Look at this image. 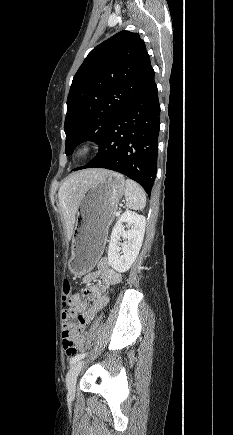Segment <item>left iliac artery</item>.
<instances>
[{
    "instance_id": "obj_1",
    "label": "left iliac artery",
    "mask_w": 233,
    "mask_h": 435,
    "mask_svg": "<svg viewBox=\"0 0 233 435\" xmlns=\"http://www.w3.org/2000/svg\"><path fill=\"white\" fill-rule=\"evenodd\" d=\"M86 355V353H81V354H77L76 356H74L71 360H70V365L74 364L76 361L81 360L82 358H84Z\"/></svg>"
}]
</instances>
